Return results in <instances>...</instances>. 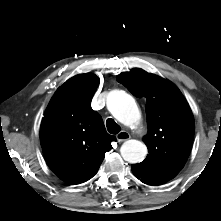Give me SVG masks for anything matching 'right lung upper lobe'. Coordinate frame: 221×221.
I'll return each instance as SVG.
<instances>
[{
    "mask_svg": "<svg viewBox=\"0 0 221 221\" xmlns=\"http://www.w3.org/2000/svg\"><path fill=\"white\" fill-rule=\"evenodd\" d=\"M98 83L95 75L87 73L66 81L52 97L41 123L40 141L46 161L71 185L97 173L115 140L90 105Z\"/></svg>",
    "mask_w": 221,
    "mask_h": 221,
    "instance_id": "obj_1",
    "label": "right lung upper lobe"
}]
</instances>
